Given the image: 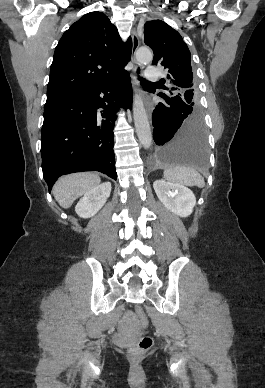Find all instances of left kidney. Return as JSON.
<instances>
[{
  "label": "left kidney",
  "mask_w": 265,
  "mask_h": 388,
  "mask_svg": "<svg viewBox=\"0 0 265 388\" xmlns=\"http://www.w3.org/2000/svg\"><path fill=\"white\" fill-rule=\"evenodd\" d=\"M153 188L167 210L180 218H187L192 214L196 198L191 190L180 184L165 182V180H156Z\"/></svg>",
  "instance_id": "1"
}]
</instances>
